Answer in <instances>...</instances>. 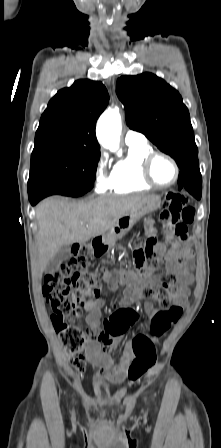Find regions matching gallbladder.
Listing matches in <instances>:
<instances>
[{"mask_svg": "<svg viewBox=\"0 0 221 448\" xmlns=\"http://www.w3.org/2000/svg\"><path fill=\"white\" fill-rule=\"evenodd\" d=\"M71 256V246L63 245L47 265V270H55L63 261Z\"/></svg>", "mask_w": 221, "mask_h": 448, "instance_id": "1", "label": "gallbladder"}]
</instances>
